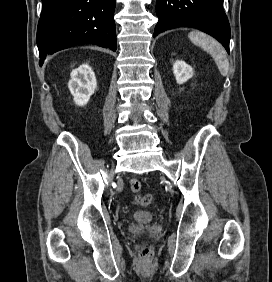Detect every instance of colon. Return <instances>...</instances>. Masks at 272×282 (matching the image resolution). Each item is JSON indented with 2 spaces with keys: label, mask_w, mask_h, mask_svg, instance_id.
I'll return each mask as SVG.
<instances>
[{
  "label": "colon",
  "mask_w": 272,
  "mask_h": 282,
  "mask_svg": "<svg viewBox=\"0 0 272 282\" xmlns=\"http://www.w3.org/2000/svg\"><path fill=\"white\" fill-rule=\"evenodd\" d=\"M130 190L137 195V201L141 205L147 206L152 202V197L149 194L141 195V183L137 179L130 180ZM142 260L149 261L152 257L151 247L147 244L141 247Z\"/></svg>",
  "instance_id": "colon-1"
}]
</instances>
